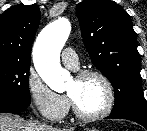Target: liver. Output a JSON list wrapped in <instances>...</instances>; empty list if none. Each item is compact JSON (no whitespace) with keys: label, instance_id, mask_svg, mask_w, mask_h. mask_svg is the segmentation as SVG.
I'll return each instance as SVG.
<instances>
[{"label":"liver","instance_id":"liver-1","mask_svg":"<svg viewBox=\"0 0 147 131\" xmlns=\"http://www.w3.org/2000/svg\"><path fill=\"white\" fill-rule=\"evenodd\" d=\"M0 131H71L50 127L39 122L24 121L18 115L0 113Z\"/></svg>","mask_w":147,"mask_h":131}]
</instances>
